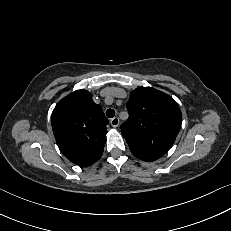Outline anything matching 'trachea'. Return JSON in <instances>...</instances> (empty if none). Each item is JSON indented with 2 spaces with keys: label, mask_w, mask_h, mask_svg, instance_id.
I'll list each match as a JSON object with an SVG mask.
<instances>
[{
  "label": "trachea",
  "mask_w": 231,
  "mask_h": 231,
  "mask_svg": "<svg viewBox=\"0 0 231 231\" xmlns=\"http://www.w3.org/2000/svg\"><path fill=\"white\" fill-rule=\"evenodd\" d=\"M114 115H115V110H114V109H108V110L106 111V116H107L108 118H112V117H114Z\"/></svg>",
  "instance_id": "1"
}]
</instances>
